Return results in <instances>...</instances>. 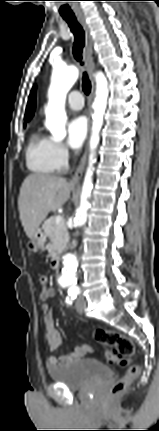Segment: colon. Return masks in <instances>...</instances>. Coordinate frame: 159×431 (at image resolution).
<instances>
[{
	"label": "colon",
	"instance_id": "obj_1",
	"mask_svg": "<svg viewBox=\"0 0 159 431\" xmlns=\"http://www.w3.org/2000/svg\"><path fill=\"white\" fill-rule=\"evenodd\" d=\"M49 276V275H48ZM49 280V277L47 281ZM56 288L53 285L48 286V300L54 302ZM94 338L100 344L110 347L112 350L108 351L105 349L107 354L105 358L109 366H115L116 363L126 365L128 361L135 354V345L133 341L119 332L109 329H96L94 331ZM139 374V368L135 365H129L126 369L125 374L118 379L110 390V396L116 398L120 396L128 387V385L137 378Z\"/></svg>",
	"mask_w": 159,
	"mask_h": 431
}]
</instances>
